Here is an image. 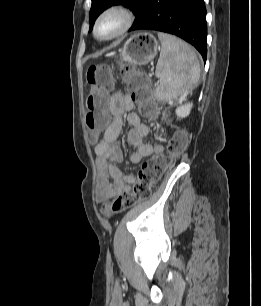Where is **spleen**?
<instances>
[{"label":"spleen","instance_id":"spleen-1","mask_svg":"<svg viewBox=\"0 0 261 306\" xmlns=\"http://www.w3.org/2000/svg\"><path fill=\"white\" fill-rule=\"evenodd\" d=\"M161 53L155 75L159 85L155 95L159 101H182L200 79V63L193 49L180 39L158 33Z\"/></svg>","mask_w":261,"mask_h":306}]
</instances>
